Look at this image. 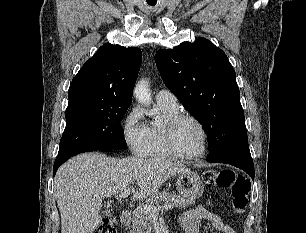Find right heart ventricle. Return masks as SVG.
<instances>
[{"label": "right heart ventricle", "mask_w": 306, "mask_h": 233, "mask_svg": "<svg viewBox=\"0 0 306 233\" xmlns=\"http://www.w3.org/2000/svg\"><path fill=\"white\" fill-rule=\"evenodd\" d=\"M159 110L164 116L165 122L178 114V108L173 109L164 105L158 104ZM164 124L162 125H150L149 128V146L148 155L156 159L170 158L172 155L168 151L165 139H164Z\"/></svg>", "instance_id": "obj_1"}]
</instances>
